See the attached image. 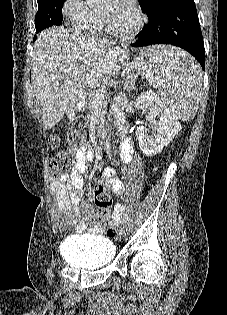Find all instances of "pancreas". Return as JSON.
<instances>
[{"label":"pancreas","mask_w":227,"mask_h":315,"mask_svg":"<svg viewBox=\"0 0 227 315\" xmlns=\"http://www.w3.org/2000/svg\"><path fill=\"white\" fill-rule=\"evenodd\" d=\"M140 68H141L140 66L139 67H133L126 74L128 75V77H130L131 75H138L139 73H141V71L145 72V70H142ZM96 78H97V84L98 85H94V86L89 85V90H88V109H90L91 111H93L99 103L95 94L98 92H104V87H103L102 82H100L98 77H96Z\"/></svg>","instance_id":"pancreas-1"}]
</instances>
